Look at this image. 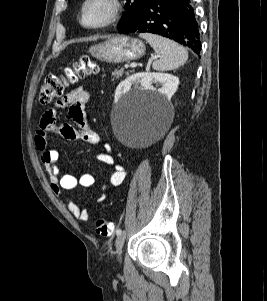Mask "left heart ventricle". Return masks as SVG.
Returning a JSON list of instances; mask_svg holds the SVG:
<instances>
[{
  "label": "left heart ventricle",
  "mask_w": 267,
  "mask_h": 301,
  "mask_svg": "<svg viewBox=\"0 0 267 301\" xmlns=\"http://www.w3.org/2000/svg\"><path fill=\"white\" fill-rule=\"evenodd\" d=\"M109 10L104 0H94L86 9L85 20L88 24L98 23L107 17Z\"/></svg>",
  "instance_id": "left-heart-ventricle-1"
}]
</instances>
